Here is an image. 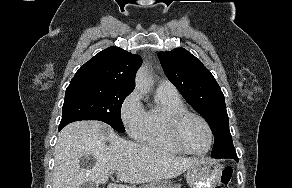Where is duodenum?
I'll return each instance as SVG.
<instances>
[{
	"mask_svg": "<svg viewBox=\"0 0 292 188\" xmlns=\"http://www.w3.org/2000/svg\"><path fill=\"white\" fill-rule=\"evenodd\" d=\"M108 188H122L121 186H118V185H115V184H112V185H109Z\"/></svg>",
	"mask_w": 292,
	"mask_h": 188,
	"instance_id": "1",
	"label": "duodenum"
}]
</instances>
